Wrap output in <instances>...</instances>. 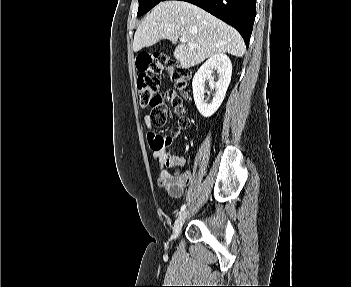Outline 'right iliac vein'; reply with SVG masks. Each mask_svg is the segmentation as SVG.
Instances as JSON below:
<instances>
[{
    "instance_id": "obj_1",
    "label": "right iliac vein",
    "mask_w": 351,
    "mask_h": 287,
    "mask_svg": "<svg viewBox=\"0 0 351 287\" xmlns=\"http://www.w3.org/2000/svg\"><path fill=\"white\" fill-rule=\"evenodd\" d=\"M188 211L180 213L173 226V238L177 239L181 233L182 226L187 218Z\"/></svg>"
}]
</instances>
